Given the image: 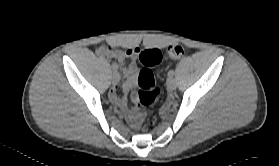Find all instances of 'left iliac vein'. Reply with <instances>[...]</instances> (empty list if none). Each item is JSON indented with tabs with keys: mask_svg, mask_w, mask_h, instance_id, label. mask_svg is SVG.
<instances>
[{
	"mask_svg": "<svg viewBox=\"0 0 279 166\" xmlns=\"http://www.w3.org/2000/svg\"><path fill=\"white\" fill-rule=\"evenodd\" d=\"M167 89L169 91H174L176 89V82L172 77H169L167 80Z\"/></svg>",
	"mask_w": 279,
	"mask_h": 166,
	"instance_id": "left-iliac-vein-1",
	"label": "left iliac vein"
}]
</instances>
